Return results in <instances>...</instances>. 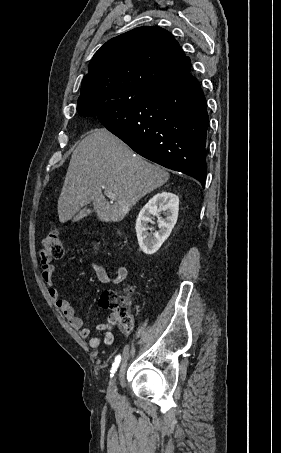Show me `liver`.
Instances as JSON below:
<instances>
[{
	"label": "liver",
	"instance_id": "1",
	"mask_svg": "<svg viewBox=\"0 0 281 453\" xmlns=\"http://www.w3.org/2000/svg\"><path fill=\"white\" fill-rule=\"evenodd\" d=\"M168 178L163 166L147 162L106 128H93L73 150L58 198L59 220L66 222L92 202L99 220L119 222L140 198ZM102 190H112L114 202Z\"/></svg>",
	"mask_w": 281,
	"mask_h": 453
}]
</instances>
